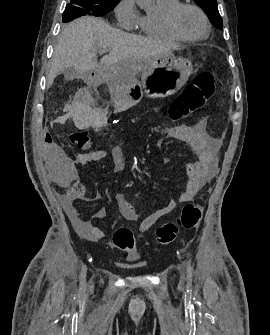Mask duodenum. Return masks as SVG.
<instances>
[{
	"mask_svg": "<svg viewBox=\"0 0 270 335\" xmlns=\"http://www.w3.org/2000/svg\"><path fill=\"white\" fill-rule=\"evenodd\" d=\"M112 90L116 96V102L117 104H122L123 101V93L122 89L118 84H112Z\"/></svg>",
	"mask_w": 270,
	"mask_h": 335,
	"instance_id": "410a0bca",
	"label": "duodenum"
}]
</instances>
